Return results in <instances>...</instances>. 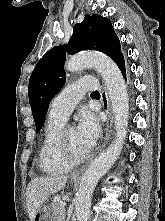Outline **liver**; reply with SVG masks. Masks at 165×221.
<instances>
[{"label":"liver","mask_w":165,"mask_h":221,"mask_svg":"<svg viewBox=\"0 0 165 221\" xmlns=\"http://www.w3.org/2000/svg\"><path fill=\"white\" fill-rule=\"evenodd\" d=\"M68 180L67 176L37 177L32 179L26 190L27 212L34 221L38 209L50 195L61 190Z\"/></svg>","instance_id":"6515ba94"}]
</instances>
